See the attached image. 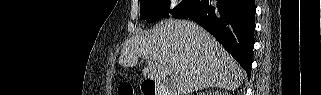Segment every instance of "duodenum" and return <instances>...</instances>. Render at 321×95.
<instances>
[{
	"label": "duodenum",
	"instance_id": "1",
	"mask_svg": "<svg viewBox=\"0 0 321 95\" xmlns=\"http://www.w3.org/2000/svg\"><path fill=\"white\" fill-rule=\"evenodd\" d=\"M155 95H161V92L156 91Z\"/></svg>",
	"mask_w": 321,
	"mask_h": 95
}]
</instances>
